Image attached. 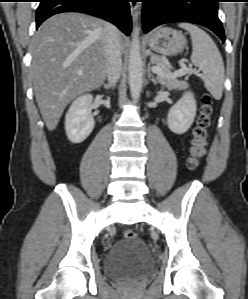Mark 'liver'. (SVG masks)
Wrapping results in <instances>:
<instances>
[{"label":"liver","mask_w":248,"mask_h":299,"mask_svg":"<svg viewBox=\"0 0 248 299\" xmlns=\"http://www.w3.org/2000/svg\"><path fill=\"white\" fill-rule=\"evenodd\" d=\"M108 23L82 13H61L47 19L31 43L36 101L49 131L78 95L102 85L106 74L104 50ZM121 50L127 38L118 31Z\"/></svg>","instance_id":"6515ba94"}]
</instances>
